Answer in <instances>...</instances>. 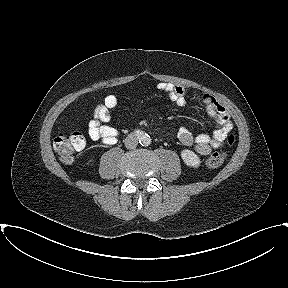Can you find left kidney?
Segmentation results:
<instances>
[{"mask_svg":"<svg viewBox=\"0 0 288 288\" xmlns=\"http://www.w3.org/2000/svg\"><path fill=\"white\" fill-rule=\"evenodd\" d=\"M181 157L187 166L197 168L201 164V160L193 151L185 149L181 152Z\"/></svg>","mask_w":288,"mask_h":288,"instance_id":"5707ae66","label":"left kidney"}]
</instances>
